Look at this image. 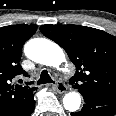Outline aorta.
<instances>
[{
	"mask_svg": "<svg viewBox=\"0 0 116 116\" xmlns=\"http://www.w3.org/2000/svg\"><path fill=\"white\" fill-rule=\"evenodd\" d=\"M25 55L34 62L58 67L65 61V54L60 46L49 39L35 38L29 40L24 47ZM81 96L77 92H70L63 98L64 108L75 112L80 107Z\"/></svg>",
	"mask_w": 116,
	"mask_h": 116,
	"instance_id": "1",
	"label": "aorta"
}]
</instances>
